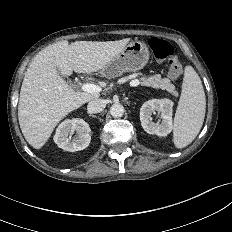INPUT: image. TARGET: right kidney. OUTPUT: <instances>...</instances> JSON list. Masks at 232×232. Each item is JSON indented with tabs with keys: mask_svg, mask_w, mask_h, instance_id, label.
<instances>
[{
	"mask_svg": "<svg viewBox=\"0 0 232 232\" xmlns=\"http://www.w3.org/2000/svg\"><path fill=\"white\" fill-rule=\"evenodd\" d=\"M76 131L77 135L71 138ZM91 129L83 119H66L59 124L54 136V142L64 151L75 152L88 147L91 141Z\"/></svg>",
	"mask_w": 232,
	"mask_h": 232,
	"instance_id": "1",
	"label": "right kidney"
}]
</instances>
